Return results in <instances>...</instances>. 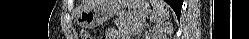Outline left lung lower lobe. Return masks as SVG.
I'll return each mask as SVG.
<instances>
[{
    "label": "left lung lower lobe",
    "mask_w": 249,
    "mask_h": 39,
    "mask_svg": "<svg viewBox=\"0 0 249 39\" xmlns=\"http://www.w3.org/2000/svg\"><path fill=\"white\" fill-rule=\"evenodd\" d=\"M166 2L173 8L177 17L180 18L183 0H166Z\"/></svg>",
    "instance_id": "1"
}]
</instances>
